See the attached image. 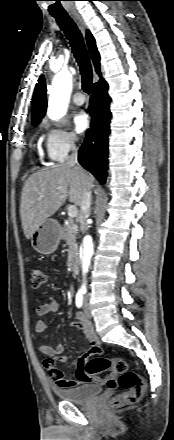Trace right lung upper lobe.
Here are the masks:
<instances>
[{"label":"right lung upper lobe","mask_w":174,"mask_h":440,"mask_svg":"<svg viewBox=\"0 0 174 440\" xmlns=\"http://www.w3.org/2000/svg\"><path fill=\"white\" fill-rule=\"evenodd\" d=\"M86 39L87 44L89 48L90 55L92 57V60L94 62L96 71L98 74H100L99 69V61H100V55L98 53V50L96 48L95 39L90 33V31H87L86 33ZM45 80L44 77L41 76L38 80V83L36 84L33 98H32V121H41V119L44 117L47 107V100H46V91H45Z\"/></svg>","instance_id":"obj_1"}]
</instances>
